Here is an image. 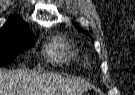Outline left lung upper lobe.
Here are the masks:
<instances>
[{"label": "left lung upper lobe", "instance_id": "1", "mask_svg": "<svg viewBox=\"0 0 135 95\" xmlns=\"http://www.w3.org/2000/svg\"><path fill=\"white\" fill-rule=\"evenodd\" d=\"M80 31L83 32V33H85V34H87V35H89L86 31H84L82 29H80Z\"/></svg>", "mask_w": 135, "mask_h": 95}]
</instances>
